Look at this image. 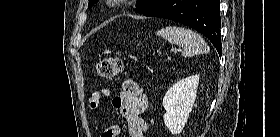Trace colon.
Returning <instances> with one entry per match:
<instances>
[{"label":"colon","instance_id":"obj_1","mask_svg":"<svg viewBox=\"0 0 280 137\" xmlns=\"http://www.w3.org/2000/svg\"><path fill=\"white\" fill-rule=\"evenodd\" d=\"M124 70L123 59L119 56H113L102 60L97 68L96 74L101 79H112ZM118 133L117 129L106 131L103 137H116Z\"/></svg>","mask_w":280,"mask_h":137}]
</instances>
